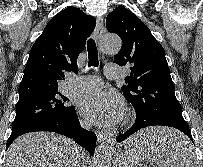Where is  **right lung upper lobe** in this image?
<instances>
[{"label": "right lung upper lobe", "mask_w": 203, "mask_h": 167, "mask_svg": "<svg viewBox=\"0 0 203 167\" xmlns=\"http://www.w3.org/2000/svg\"><path fill=\"white\" fill-rule=\"evenodd\" d=\"M95 25L94 17L75 7L62 10L48 22L30 50L18 103L57 91L64 71L77 72V57Z\"/></svg>", "instance_id": "right-lung-upper-lobe-1"}]
</instances>
